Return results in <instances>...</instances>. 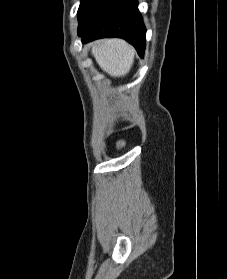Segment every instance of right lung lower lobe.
<instances>
[{"label": "right lung lower lobe", "instance_id": "right-lung-lower-lobe-1", "mask_svg": "<svg viewBox=\"0 0 227 279\" xmlns=\"http://www.w3.org/2000/svg\"><path fill=\"white\" fill-rule=\"evenodd\" d=\"M83 42L118 37L132 44L143 57L146 28L137 0H92L78 18Z\"/></svg>", "mask_w": 227, "mask_h": 279}]
</instances>
